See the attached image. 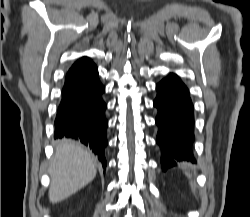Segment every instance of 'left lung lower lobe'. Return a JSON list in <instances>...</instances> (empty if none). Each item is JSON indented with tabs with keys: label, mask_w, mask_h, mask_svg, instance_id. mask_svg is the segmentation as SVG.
I'll use <instances>...</instances> for the list:
<instances>
[{
	"label": "left lung lower lobe",
	"mask_w": 250,
	"mask_h": 217,
	"mask_svg": "<svg viewBox=\"0 0 250 217\" xmlns=\"http://www.w3.org/2000/svg\"><path fill=\"white\" fill-rule=\"evenodd\" d=\"M154 106L158 109L159 127L156 142L161 148L163 170L176 165V161L195 162L192 153L194 141V114L189 91L180 78L170 73L156 85Z\"/></svg>",
	"instance_id": "1"
}]
</instances>
